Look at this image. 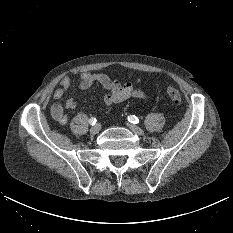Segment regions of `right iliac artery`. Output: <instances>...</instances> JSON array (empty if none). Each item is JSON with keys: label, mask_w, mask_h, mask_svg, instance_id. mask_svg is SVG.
<instances>
[{"label": "right iliac artery", "mask_w": 233, "mask_h": 233, "mask_svg": "<svg viewBox=\"0 0 233 233\" xmlns=\"http://www.w3.org/2000/svg\"><path fill=\"white\" fill-rule=\"evenodd\" d=\"M96 118L95 117H91L90 119H89V123L91 124V125H95L96 124Z\"/></svg>", "instance_id": "obj_1"}]
</instances>
